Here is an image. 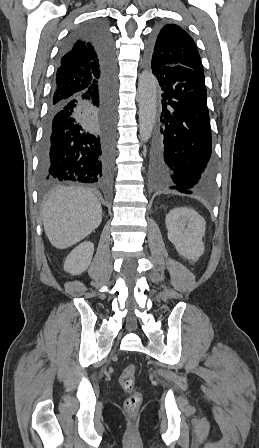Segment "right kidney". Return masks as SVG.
Instances as JSON below:
<instances>
[{"label": "right kidney", "mask_w": 259, "mask_h": 448, "mask_svg": "<svg viewBox=\"0 0 259 448\" xmlns=\"http://www.w3.org/2000/svg\"><path fill=\"white\" fill-rule=\"evenodd\" d=\"M94 252V244L92 242H82L76 246L69 256H67L64 264L65 272H69L72 276H79L89 268Z\"/></svg>", "instance_id": "obj_1"}]
</instances>
